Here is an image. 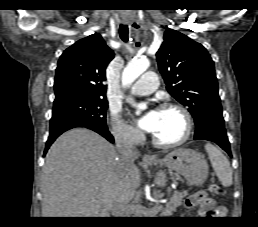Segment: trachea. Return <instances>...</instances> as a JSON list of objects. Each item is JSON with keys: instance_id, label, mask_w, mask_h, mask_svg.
I'll list each match as a JSON object with an SVG mask.
<instances>
[{"instance_id": "1", "label": "trachea", "mask_w": 258, "mask_h": 227, "mask_svg": "<svg viewBox=\"0 0 258 227\" xmlns=\"http://www.w3.org/2000/svg\"><path fill=\"white\" fill-rule=\"evenodd\" d=\"M119 34H120V38L124 41L127 42L128 41V26L127 25H120L119 27ZM138 45V44H137Z\"/></svg>"}]
</instances>
